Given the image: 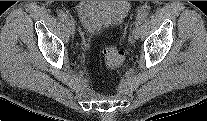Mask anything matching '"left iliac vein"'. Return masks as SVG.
Returning a JSON list of instances; mask_svg holds the SVG:
<instances>
[{"label": "left iliac vein", "instance_id": "obj_1", "mask_svg": "<svg viewBox=\"0 0 207 121\" xmlns=\"http://www.w3.org/2000/svg\"><path fill=\"white\" fill-rule=\"evenodd\" d=\"M140 22H136L132 28L131 35L129 37V42L131 44L135 43V41L139 38L141 33Z\"/></svg>", "mask_w": 207, "mask_h": 121}]
</instances>
